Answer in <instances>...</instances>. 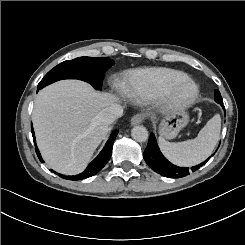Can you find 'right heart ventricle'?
<instances>
[{
	"mask_svg": "<svg viewBox=\"0 0 245 245\" xmlns=\"http://www.w3.org/2000/svg\"><path fill=\"white\" fill-rule=\"evenodd\" d=\"M187 78L185 73L171 69L144 70L137 73L133 89L142 97H153L165 86Z\"/></svg>",
	"mask_w": 245,
	"mask_h": 245,
	"instance_id": "right-heart-ventricle-1",
	"label": "right heart ventricle"
}]
</instances>
